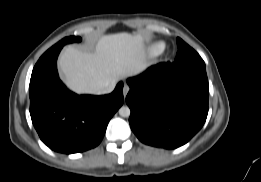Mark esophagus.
Wrapping results in <instances>:
<instances>
[{"instance_id":"34e87169","label":"esophagus","mask_w":261,"mask_h":182,"mask_svg":"<svg viewBox=\"0 0 261 182\" xmlns=\"http://www.w3.org/2000/svg\"><path fill=\"white\" fill-rule=\"evenodd\" d=\"M129 90H130L129 86L125 84L124 87H123V95H124V97L127 96Z\"/></svg>"}]
</instances>
